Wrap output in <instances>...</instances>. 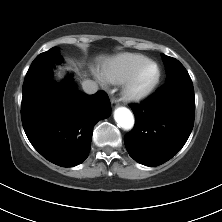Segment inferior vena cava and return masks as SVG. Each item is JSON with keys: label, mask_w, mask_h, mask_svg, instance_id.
Here are the masks:
<instances>
[{"label": "inferior vena cava", "mask_w": 222, "mask_h": 222, "mask_svg": "<svg viewBox=\"0 0 222 222\" xmlns=\"http://www.w3.org/2000/svg\"><path fill=\"white\" fill-rule=\"evenodd\" d=\"M82 88L87 94H94L98 91V85L92 80H84L82 82Z\"/></svg>", "instance_id": "inferior-vena-cava-1"}]
</instances>
